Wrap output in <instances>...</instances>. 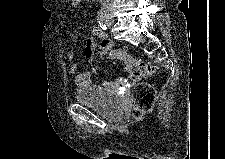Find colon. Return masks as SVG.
<instances>
[{"instance_id": "obj_1", "label": "colon", "mask_w": 225, "mask_h": 159, "mask_svg": "<svg viewBox=\"0 0 225 159\" xmlns=\"http://www.w3.org/2000/svg\"><path fill=\"white\" fill-rule=\"evenodd\" d=\"M71 1L75 3L78 0ZM99 51L101 55H106L111 60L121 61L132 80L151 77L156 73L154 66L133 57L125 50L101 47ZM155 97L156 92L152 85L138 82L132 91L133 115L139 118L149 112L154 105Z\"/></svg>"}]
</instances>
